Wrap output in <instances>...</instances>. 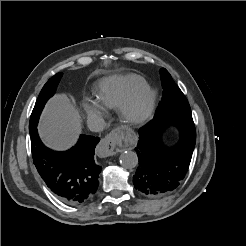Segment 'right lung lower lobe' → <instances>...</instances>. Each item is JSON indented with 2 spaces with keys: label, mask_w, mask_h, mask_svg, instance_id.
<instances>
[{
  "label": "right lung lower lobe",
  "mask_w": 246,
  "mask_h": 246,
  "mask_svg": "<svg viewBox=\"0 0 246 246\" xmlns=\"http://www.w3.org/2000/svg\"><path fill=\"white\" fill-rule=\"evenodd\" d=\"M34 164L51 191L64 203L76 205L87 201L99 185L102 167L94 161L100 138L81 135L68 151H53L41 142L37 128L30 130Z\"/></svg>",
  "instance_id": "98d812e1"
}]
</instances>
